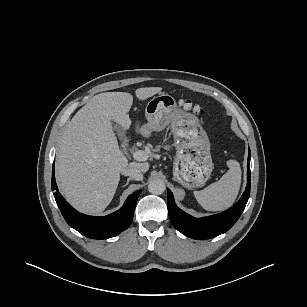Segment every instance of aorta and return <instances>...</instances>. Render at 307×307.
I'll return each mask as SVG.
<instances>
[{"instance_id": "obj_1", "label": "aorta", "mask_w": 307, "mask_h": 307, "mask_svg": "<svg viewBox=\"0 0 307 307\" xmlns=\"http://www.w3.org/2000/svg\"><path fill=\"white\" fill-rule=\"evenodd\" d=\"M166 186L162 180L154 179L148 184V191L152 194L160 195L164 193Z\"/></svg>"}]
</instances>
